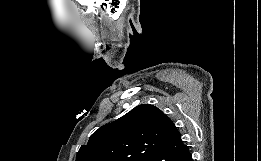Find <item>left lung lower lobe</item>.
Returning a JSON list of instances; mask_svg holds the SVG:
<instances>
[{
	"label": "left lung lower lobe",
	"mask_w": 261,
	"mask_h": 161,
	"mask_svg": "<svg viewBox=\"0 0 261 161\" xmlns=\"http://www.w3.org/2000/svg\"><path fill=\"white\" fill-rule=\"evenodd\" d=\"M149 161H193V159L177 131L167 145L160 146L154 151Z\"/></svg>",
	"instance_id": "left-lung-lower-lobe-1"
}]
</instances>
